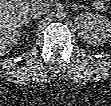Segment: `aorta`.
<instances>
[{"mask_svg": "<svg viewBox=\"0 0 111 106\" xmlns=\"http://www.w3.org/2000/svg\"><path fill=\"white\" fill-rule=\"evenodd\" d=\"M66 15H67V13L63 9H58V11L56 13V17L58 19H65Z\"/></svg>", "mask_w": 111, "mask_h": 106, "instance_id": "762f6f07", "label": "aorta"}]
</instances>
